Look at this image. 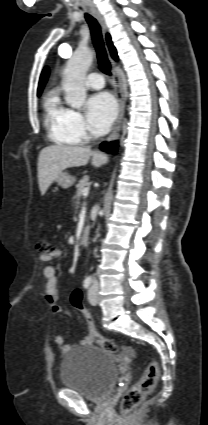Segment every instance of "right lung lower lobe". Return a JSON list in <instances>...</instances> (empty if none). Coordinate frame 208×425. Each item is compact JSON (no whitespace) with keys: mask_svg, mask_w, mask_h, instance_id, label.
<instances>
[{"mask_svg":"<svg viewBox=\"0 0 208 425\" xmlns=\"http://www.w3.org/2000/svg\"><path fill=\"white\" fill-rule=\"evenodd\" d=\"M101 150L105 151V152H112V153H116L117 152V142H111V143H106L103 142L100 145Z\"/></svg>","mask_w":208,"mask_h":425,"instance_id":"98d812e1","label":"right lung lower lobe"}]
</instances>
